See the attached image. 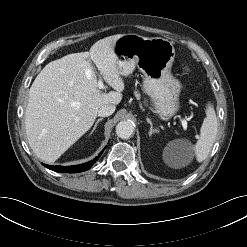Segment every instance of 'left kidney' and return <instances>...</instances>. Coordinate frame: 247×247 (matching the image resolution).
<instances>
[{
	"mask_svg": "<svg viewBox=\"0 0 247 247\" xmlns=\"http://www.w3.org/2000/svg\"><path fill=\"white\" fill-rule=\"evenodd\" d=\"M183 141H174L169 143L168 147L165 149V157L166 162L169 165H177L179 163V152L178 149L180 148Z\"/></svg>",
	"mask_w": 247,
	"mask_h": 247,
	"instance_id": "obj_1",
	"label": "left kidney"
}]
</instances>
